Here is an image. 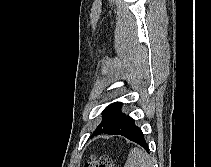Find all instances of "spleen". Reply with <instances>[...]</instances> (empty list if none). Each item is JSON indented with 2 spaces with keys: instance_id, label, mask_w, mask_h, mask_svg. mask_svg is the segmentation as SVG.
Instances as JSON below:
<instances>
[{
  "instance_id": "1",
  "label": "spleen",
  "mask_w": 211,
  "mask_h": 167,
  "mask_svg": "<svg viewBox=\"0 0 211 167\" xmlns=\"http://www.w3.org/2000/svg\"><path fill=\"white\" fill-rule=\"evenodd\" d=\"M124 167H153L150 156L142 149L133 148L128 154Z\"/></svg>"
}]
</instances>
